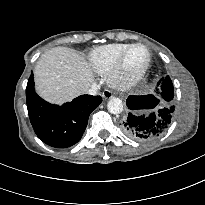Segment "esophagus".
Masks as SVG:
<instances>
[{"mask_svg": "<svg viewBox=\"0 0 205 205\" xmlns=\"http://www.w3.org/2000/svg\"><path fill=\"white\" fill-rule=\"evenodd\" d=\"M102 96L104 99H110L113 97V93L109 89H105L102 93Z\"/></svg>", "mask_w": 205, "mask_h": 205, "instance_id": "obj_1", "label": "esophagus"}]
</instances>
